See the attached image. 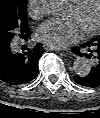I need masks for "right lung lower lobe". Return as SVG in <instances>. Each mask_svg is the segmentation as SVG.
<instances>
[{
  "label": "right lung lower lobe",
  "instance_id": "1",
  "mask_svg": "<svg viewBox=\"0 0 100 118\" xmlns=\"http://www.w3.org/2000/svg\"><path fill=\"white\" fill-rule=\"evenodd\" d=\"M15 51L11 42L0 44V80L9 85H23L38 74V60L44 50L41 45Z\"/></svg>",
  "mask_w": 100,
  "mask_h": 118
}]
</instances>
